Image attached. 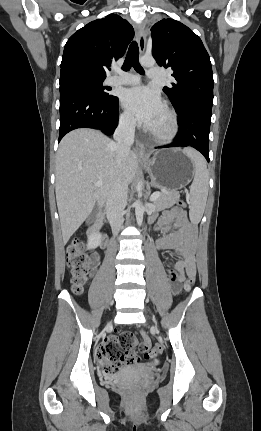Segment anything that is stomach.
Segmentation results:
<instances>
[{
	"label": "stomach",
	"instance_id": "0dacf381",
	"mask_svg": "<svg viewBox=\"0 0 261 431\" xmlns=\"http://www.w3.org/2000/svg\"><path fill=\"white\" fill-rule=\"evenodd\" d=\"M154 186L165 190H177L190 183L195 174L194 163L179 149L162 150L152 158L142 159Z\"/></svg>",
	"mask_w": 261,
	"mask_h": 431
}]
</instances>
